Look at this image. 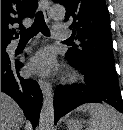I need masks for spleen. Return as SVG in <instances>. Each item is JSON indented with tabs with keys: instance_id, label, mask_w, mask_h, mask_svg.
<instances>
[{
	"instance_id": "1",
	"label": "spleen",
	"mask_w": 123,
	"mask_h": 130,
	"mask_svg": "<svg viewBox=\"0 0 123 130\" xmlns=\"http://www.w3.org/2000/svg\"><path fill=\"white\" fill-rule=\"evenodd\" d=\"M76 111L90 114L88 130H123L120 114L109 106L90 103L79 106Z\"/></svg>"
}]
</instances>
